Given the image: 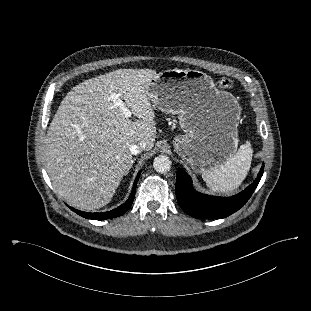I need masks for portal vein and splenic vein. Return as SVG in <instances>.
Here are the masks:
<instances>
[{
  "mask_svg": "<svg viewBox=\"0 0 311 311\" xmlns=\"http://www.w3.org/2000/svg\"><path fill=\"white\" fill-rule=\"evenodd\" d=\"M111 100L113 101L116 107H119L126 118H130L132 113L130 109L125 105V103L121 100L120 94L114 93L111 96Z\"/></svg>",
  "mask_w": 311,
  "mask_h": 311,
  "instance_id": "portal-vein-and-splenic-vein-1",
  "label": "portal vein and splenic vein"
}]
</instances>
